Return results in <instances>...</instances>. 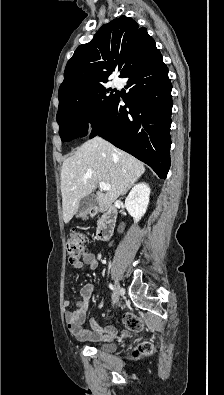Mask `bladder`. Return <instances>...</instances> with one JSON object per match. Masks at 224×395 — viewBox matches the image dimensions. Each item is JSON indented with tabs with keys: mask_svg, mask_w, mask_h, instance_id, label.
I'll return each mask as SVG.
<instances>
[{
	"mask_svg": "<svg viewBox=\"0 0 224 395\" xmlns=\"http://www.w3.org/2000/svg\"><path fill=\"white\" fill-rule=\"evenodd\" d=\"M95 348L103 352H113L115 350V345L111 343H97Z\"/></svg>",
	"mask_w": 224,
	"mask_h": 395,
	"instance_id": "31cf9c89",
	"label": "bladder"
}]
</instances>
